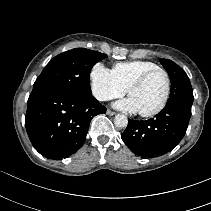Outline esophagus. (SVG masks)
<instances>
[{
    "instance_id": "34e87169",
    "label": "esophagus",
    "mask_w": 211,
    "mask_h": 211,
    "mask_svg": "<svg viewBox=\"0 0 211 211\" xmlns=\"http://www.w3.org/2000/svg\"><path fill=\"white\" fill-rule=\"evenodd\" d=\"M109 116H113V115H115L116 113L114 112V111H112V110H107V112H106Z\"/></svg>"
}]
</instances>
